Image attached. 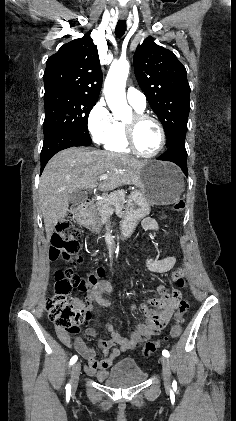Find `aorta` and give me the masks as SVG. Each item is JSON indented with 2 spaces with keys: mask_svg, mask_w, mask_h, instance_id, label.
Instances as JSON below:
<instances>
[{
  "mask_svg": "<svg viewBox=\"0 0 236 421\" xmlns=\"http://www.w3.org/2000/svg\"><path fill=\"white\" fill-rule=\"evenodd\" d=\"M130 64L128 60H118L117 64H111L104 82V94L109 108L116 112L118 104L126 102L125 84L129 74Z\"/></svg>",
  "mask_w": 236,
  "mask_h": 421,
  "instance_id": "obj_1",
  "label": "aorta"
}]
</instances>
